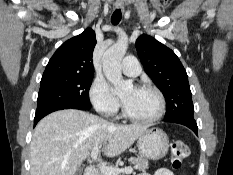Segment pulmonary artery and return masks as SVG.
<instances>
[{
  "instance_id": "obj_1",
  "label": "pulmonary artery",
  "mask_w": 233,
  "mask_h": 175,
  "mask_svg": "<svg viewBox=\"0 0 233 175\" xmlns=\"http://www.w3.org/2000/svg\"><path fill=\"white\" fill-rule=\"evenodd\" d=\"M122 71L125 75L131 77L139 75L141 72L139 61L133 56L126 57L122 63Z\"/></svg>"
}]
</instances>
